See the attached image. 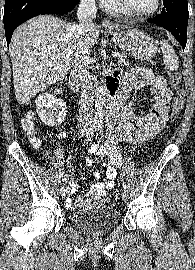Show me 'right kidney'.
<instances>
[{"label": "right kidney", "instance_id": "right-kidney-1", "mask_svg": "<svg viewBox=\"0 0 195 270\" xmlns=\"http://www.w3.org/2000/svg\"><path fill=\"white\" fill-rule=\"evenodd\" d=\"M41 121L48 126L60 125L66 117L67 105L50 93H43L35 100Z\"/></svg>", "mask_w": 195, "mask_h": 270}]
</instances>
